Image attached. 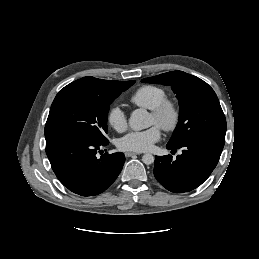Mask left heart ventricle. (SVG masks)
Wrapping results in <instances>:
<instances>
[{
	"instance_id": "b2bd125f",
	"label": "left heart ventricle",
	"mask_w": 259,
	"mask_h": 259,
	"mask_svg": "<svg viewBox=\"0 0 259 259\" xmlns=\"http://www.w3.org/2000/svg\"><path fill=\"white\" fill-rule=\"evenodd\" d=\"M150 124H156V120L152 115L150 116Z\"/></svg>"
}]
</instances>
